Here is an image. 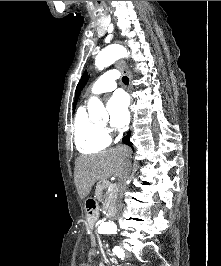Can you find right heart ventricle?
I'll return each instance as SVG.
<instances>
[{
	"label": "right heart ventricle",
	"mask_w": 221,
	"mask_h": 266,
	"mask_svg": "<svg viewBox=\"0 0 221 266\" xmlns=\"http://www.w3.org/2000/svg\"><path fill=\"white\" fill-rule=\"evenodd\" d=\"M74 142L82 154H97L109 145L105 130L89 119L84 107L79 108L75 116Z\"/></svg>",
	"instance_id": "obj_1"
}]
</instances>
